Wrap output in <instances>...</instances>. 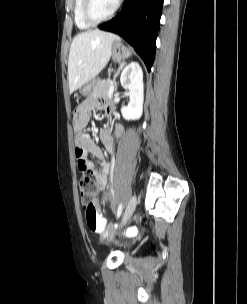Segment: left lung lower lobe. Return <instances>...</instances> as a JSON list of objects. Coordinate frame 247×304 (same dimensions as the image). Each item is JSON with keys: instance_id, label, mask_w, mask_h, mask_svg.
<instances>
[{"instance_id": "0a47b994", "label": "left lung lower lobe", "mask_w": 247, "mask_h": 304, "mask_svg": "<svg viewBox=\"0 0 247 304\" xmlns=\"http://www.w3.org/2000/svg\"><path fill=\"white\" fill-rule=\"evenodd\" d=\"M163 1L126 0L118 15L99 26L101 30L120 35L133 46L148 71L154 61Z\"/></svg>"}]
</instances>
